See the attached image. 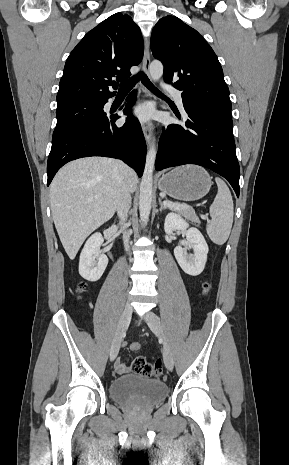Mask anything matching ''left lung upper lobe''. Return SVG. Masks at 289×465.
<instances>
[{
	"label": "left lung upper lobe",
	"instance_id": "left-lung-upper-lobe-1",
	"mask_svg": "<svg viewBox=\"0 0 289 465\" xmlns=\"http://www.w3.org/2000/svg\"><path fill=\"white\" fill-rule=\"evenodd\" d=\"M151 50L168 83L199 102L231 110L229 89L218 58L206 40L175 16L161 18L152 31Z\"/></svg>",
	"mask_w": 289,
	"mask_h": 465
}]
</instances>
